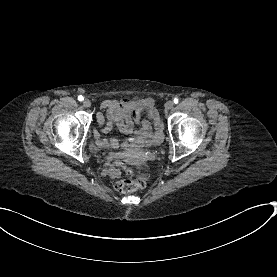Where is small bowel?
Returning <instances> with one entry per match:
<instances>
[{
    "mask_svg": "<svg viewBox=\"0 0 277 277\" xmlns=\"http://www.w3.org/2000/svg\"><path fill=\"white\" fill-rule=\"evenodd\" d=\"M102 108L106 111V119L99 114L97 121L102 126L101 131L103 133L116 126L123 134L131 136L136 141L156 142L160 138L163 124L151 97L123 99L121 101L106 100L102 103ZM144 113H146L148 119L142 118ZM135 125H139V127L135 128ZM96 145L117 151L120 143L117 140L101 138L100 134L96 133ZM118 158L119 154H114L110 159L109 166ZM111 176L119 178L120 172L114 170Z\"/></svg>",
    "mask_w": 277,
    "mask_h": 277,
    "instance_id": "obj_1",
    "label": "small bowel"
}]
</instances>
